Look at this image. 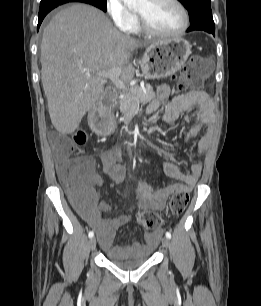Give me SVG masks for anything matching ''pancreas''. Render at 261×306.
Listing matches in <instances>:
<instances>
[{"instance_id":"obj_1","label":"pancreas","mask_w":261,"mask_h":306,"mask_svg":"<svg viewBox=\"0 0 261 306\" xmlns=\"http://www.w3.org/2000/svg\"><path fill=\"white\" fill-rule=\"evenodd\" d=\"M155 98V93L150 85L145 88L133 86L122 90L119 101L120 112L124 115L129 114L133 109L138 108L139 104H146Z\"/></svg>"}]
</instances>
